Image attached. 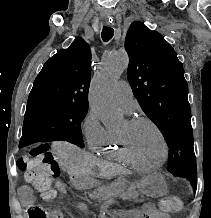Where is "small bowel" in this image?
<instances>
[{
	"instance_id": "small-bowel-1",
	"label": "small bowel",
	"mask_w": 211,
	"mask_h": 218,
	"mask_svg": "<svg viewBox=\"0 0 211 218\" xmlns=\"http://www.w3.org/2000/svg\"><path fill=\"white\" fill-rule=\"evenodd\" d=\"M55 187L56 190L61 194H64L66 191L65 186L61 181H57L55 183ZM19 194L22 202L25 205L33 204L34 196L30 187L28 186L21 187ZM80 208L84 209V206H81ZM52 217L65 218V215L61 209H55L52 212ZM137 218H169V215L166 212L161 211L152 205H144L137 209Z\"/></svg>"
}]
</instances>
